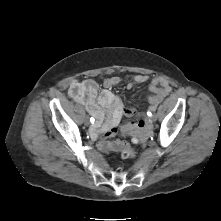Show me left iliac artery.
I'll use <instances>...</instances> for the list:
<instances>
[{"label":"left iliac artery","instance_id":"1","mask_svg":"<svg viewBox=\"0 0 221 221\" xmlns=\"http://www.w3.org/2000/svg\"><path fill=\"white\" fill-rule=\"evenodd\" d=\"M155 109H156L155 107H152L153 111H155ZM148 115L151 116V113L149 112Z\"/></svg>","mask_w":221,"mask_h":221}]
</instances>
